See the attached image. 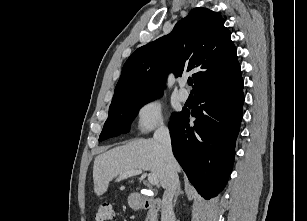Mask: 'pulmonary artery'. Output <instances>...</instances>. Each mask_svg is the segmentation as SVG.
<instances>
[{
    "label": "pulmonary artery",
    "mask_w": 307,
    "mask_h": 221,
    "mask_svg": "<svg viewBox=\"0 0 307 221\" xmlns=\"http://www.w3.org/2000/svg\"><path fill=\"white\" fill-rule=\"evenodd\" d=\"M180 89L178 91V97L181 101H186L189 97V92L185 89V86L187 85V80L182 79L179 82Z\"/></svg>",
    "instance_id": "e3ab8cb5"
}]
</instances>
